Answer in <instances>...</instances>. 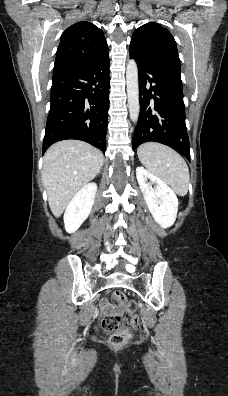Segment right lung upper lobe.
<instances>
[{
    "instance_id": "1",
    "label": "right lung upper lobe",
    "mask_w": 228,
    "mask_h": 396,
    "mask_svg": "<svg viewBox=\"0 0 228 396\" xmlns=\"http://www.w3.org/2000/svg\"><path fill=\"white\" fill-rule=\"evenodd\" d=\"M108 52L101 29L87 21L75 23L61 36L53 73L88 65Z\"/></svg>"
}]
</instances>
